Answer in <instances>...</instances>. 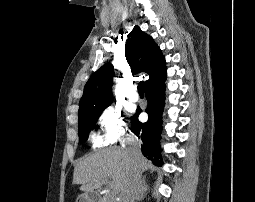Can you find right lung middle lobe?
Wrapping results in <instances>:
<instances>
[{"label": "right lung middle lobe", "instance_id": "dd1d6c3e", "mask_svg": "<svg viewBox=\"0 0 255 202\" xmlns=\"http://www.w3.org/2000/svg\"><path fill=\"white\" fill-rule=\"evenodd\" d=\"M105 108L88 110L79 114L78 128L82 142H85L88 139L90 130L94 127L96 120Z\"/></svg>", "mask_w": 255, "mask_h": 202}]
</instances>
